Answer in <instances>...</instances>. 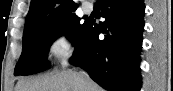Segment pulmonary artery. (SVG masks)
Wrapping results in <instances>:
<instances>
[{
	"instance_id": "1",
	"label": "pulmonary artery",
	"mask_w": 173,
	"mask_h": 91,
	"mask_svg": "<svg viewBox=\"0 0 173 91\" xmlns=\"http://www.w3.org/2000/svg\"><path fill=\"white\" fill-rule=\"evenodd\" d=\"M85 13H91L92 7L91 6H84L83 7Z\"/></svg>"
}]
</instances>
